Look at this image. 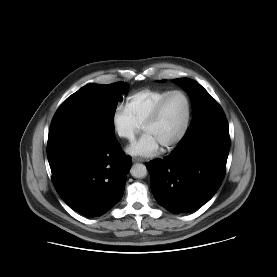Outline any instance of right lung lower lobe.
<instances>
[{
	"mask_svg": "<svg viewBox=\"0 0 277 277\" xmlns=\"http://www.w3.org/2000/svg\"><path fill=\"white\" fill-rule=\"evenodd\" d=\"M47 157L56 191L81 215L100 216L123 196L132 159L124 155L114 136L94 124L55 117Z\"/></svg>",
	"mask_w": 277,
	"mask_h": 277,
	"instance_id": "1",
	"label": "right lung lower lobe"
}]
</instances>
